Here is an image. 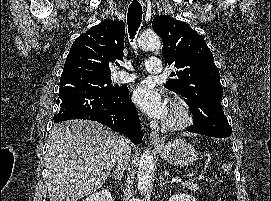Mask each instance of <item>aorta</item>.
Masks as SVG:
<instances>
[{
	"mask_svg": "<svg viewBox=\"0 0 271 201\" xmlns=\"http://www.w3.org/2000/svg\"><path fill=\"white\" fill-rule=\"evenodd\" d=\"M138 46L143 50H159L161 48V40L154 32H144L138 38ZM154 171L153 155L146 150L139 161L137 186L141 194H144L150 187Z\"/></svg>",
	"mask_w": 271,
	"mask_h": 201,
	"instance_id": "obj_1",
	"label": "aorta"
}]
</instances>
